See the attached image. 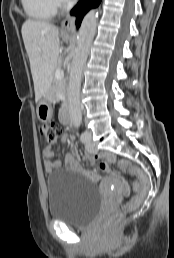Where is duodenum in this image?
<instances>
[{
  "mask_svg": "<svg viewBox=\"0 0 174 258\" xmlns=\"http://www.w3.org/2000/svg\"><path fill=\"white\" fill-rule=\"evenodd\" d=\"M60 119L64 124L70 123V105L67 99L62 102Z\"/></svg>",
  "mask_w": 174,
  "mask_h": 258,
  "instance_id": "1",
  "label": "duodenum"
}]
</instances>
